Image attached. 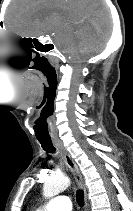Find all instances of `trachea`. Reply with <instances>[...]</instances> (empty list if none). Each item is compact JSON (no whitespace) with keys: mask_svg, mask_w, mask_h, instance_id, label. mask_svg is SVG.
<instances>
[{"mask_svg":"<svg viewBox=\"0 0 133 211\" xmlns=\"http://www.w3.org/2000/svg\"><path fill=\"white\" fill-rule=\"evenodd\" d=\"M42 148L48 152V153H53L55 152V147L53 146V143L52 141H39ZM76 200H77V203L80 205V206H83L84 205V193L82 190H78L76 192Z\"/></svg>","mask_w":133,"mask_h":211,"instance_id":"obj_1","label":"trachea"}]
</instances>
